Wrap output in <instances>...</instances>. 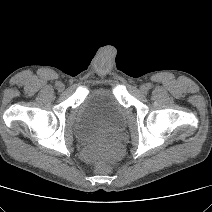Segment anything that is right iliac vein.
Wrapping results in <instances>:
<instances>
[{
	"instance_id": "obj_1",
	"label": "right iliac vein",
	"mask_w": 212,
	"mask_h": 212,
	"mask_svg": "<svg viewBox=\"0 0 212 212\" xmlns=\"http://www.w3.org/2000/svg\"><path fill=\"white\" fill-rule=\"evenodd\" d=\"M58 90H59V91H63V90H64V86H63L62 84H59V85H58Z\"/></svg>"
}]
</instances>
